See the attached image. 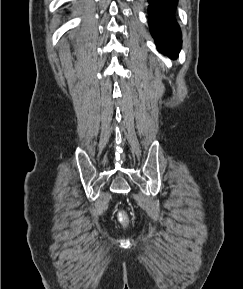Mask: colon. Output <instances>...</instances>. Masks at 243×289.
<instances>
[{"instance_id": "colon-1", "label": "colon", "mask_w": 243, "mask_h": 289, "mask_svg": "<svg viewBox=\"0 0 243 289\" xmlns=\"http://www.w3.org/2000/svg\"><path fill=\"white\" fill-rule=\"evenodd\" d=\"M118 216H119V220H120L122 223H126V222H127V216L125 215L124 212H119Z\"/></svg>"}]
</instances>
